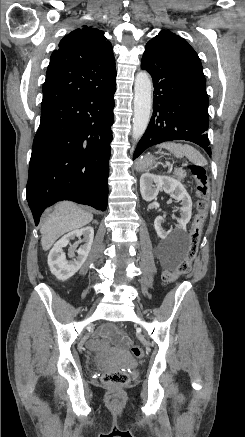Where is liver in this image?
<instances>
[{
    "label": "liver",
    "instance_id": "6515ba94",
    "mask_svg": "<svg viewBox=\"0 0 245 437\" xmlns=\"http://www.w3.org/2000/svg\"><path fill=\"white\" fill-rule=\"evenodd\" d=\"M92 219L93 215L90 212L81 210L74 203L61 202L56 204L40 230L43 250H49L63 234L89 224Z\"/></svg>",
    "mask_w": 245,
    "mask_h": 437
}]
</instances>
